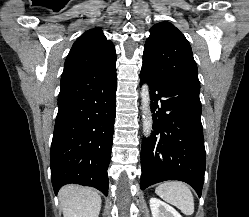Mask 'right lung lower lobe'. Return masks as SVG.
I'll return each mask as SVG.
<instances>
[{
	"label": "right lung lower lobe",
	"mask_w": 249,
	"mask_h": 217,
	"mask_svg": "<svg viewBox=\"0 0 249 217\" xmlns=\"http://www.w3.org/2000/svg\"><path fill=\"white\" fill-rule=\"evenodd\" d=\"M116 77V58L100 67L62 73L50 156L55 194L68 183L108 194Z\"/></svg>",
	"instance_id": "98d812e1"
}]
</instances>
